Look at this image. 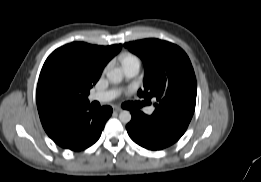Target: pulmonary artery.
Listing matches in <instances>:
<instances>
[{
  "label": "pulmonary artery",
  "mask_w": 261,
  "mask_h": 182,
  "mask_svg": "<svg viewBox=\"0 0 261 182\" xmlns=\"http://www.w3.org/2000/svg\"><path fill=\"white\" fill-rule=\"evenodd\" d=\"M140 64L139 63H132L128 64L123 67L125 76L128 79H131L137 75L139 72ZM118 95V91L115 89L104 91V92H97L94 94H91L88 99L90 101H97L100 103H105L113 100L116 96ZM155 108L154 107H147L145 108V113L147 115H152L154 112Z\"/></svg>",
  "instance_id": "1"
}]
</instances>
